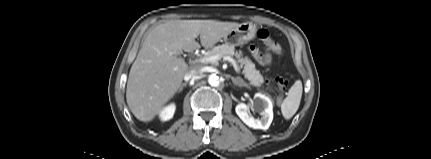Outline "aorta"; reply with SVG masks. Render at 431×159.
Segmentation results:
<instances>
[{
    "mask_svg": "<svg viewBox=\"0 0 431 159\" xmlns=\"http://www.w3.org/2000/svg\"><path fill=\"white\" fill-rule=\"evenodd\" d=\"M208 82L211 86L217 87L220 84L219 77L215 74H212L208 78Z\"/></svg>",
    "mask_w": 431,
    "mask_h": 159,
    "instance_id": "obj_1",
    "label": "aorta"
}]
</instances>
